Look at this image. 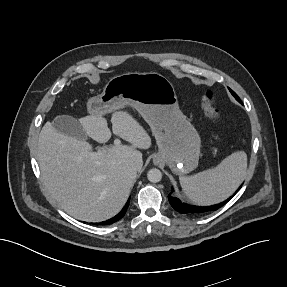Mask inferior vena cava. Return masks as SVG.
Here are the masks:
<instances>
[{
	"mask_svg": "<svg viewBox=\"0 0 287 287\" xmlns=\"http://www.w3.org/2000/svg\"><path fill=\"white\" fill-rule=\"evenodd\" d=\"M142 165L143 161L141 158H135L130 163L131 168L134 169L135 171H139L142 168Z\"/></svg>",
	"mask_w": 287,
	"mask_h": 287,
	"instance_id": "1",
	"label": "inferior vena cava"
}]
</instances>
